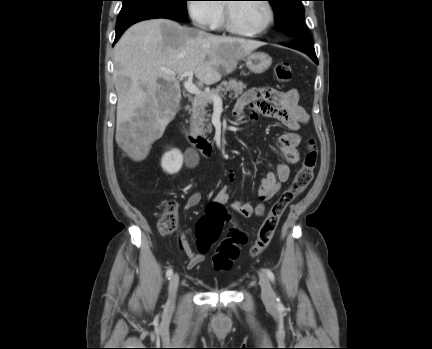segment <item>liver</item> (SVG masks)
Listing matches in <instances>:
<instances>
[{
	"label": "liver",
	"instance_id": "1",
	"mask_svg": "<svg viewBox=\"0 0 432 349\" xmlns=\"http://www.w3.org/2000/svg\"><path fill=\"white\" fill-rule=\"evenodd\" d=\"M264 43L213 35L168 19L142 21L129 28L114 48L113 80L118 96L116 142L134 161L144 160L151 145L174 119L181 100L175 77L193 71L211 85L233 72ZM162 79L163 84L158 83Z\"/></svg>",
	"mask_w": 432,
	"mask_h": 349
}]
</instances>
